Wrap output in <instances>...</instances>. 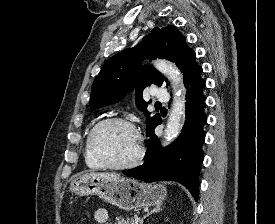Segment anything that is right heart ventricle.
Instances as JSON below:
<instances>
[{"label":"right heart ventricle","mask_w":275,"mask_h":224,"mask_svg":"<svg viewBox=\"0 0 275 224\" xmlns=\"http://www.w3.org/2000/svg\"><path fill=\"white\" fill-rule=\"evenodd\" d=\"M89 133H90V131L88 132V134L85 138V142H84V159H85V163H86L88 168H90L92 170H99V169H102L103 166L94 158V156L92 155V153L90 151L89 142H88Z\"/></svg>","instance_id":"obj_1"}]
</instances>
